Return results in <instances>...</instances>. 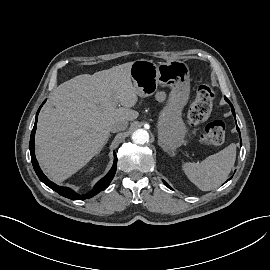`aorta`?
I'll return each mask as SVG.
<instances>
[{"instance_id": "762f6f07", "label": "aorta", "mask_w": 270, "mask_h": 270, "mask_svg": "<svg viewBox=\"0 0 270 270\" xmlns=\"http://www.w3.org/2000/svg\"><path fill=\"white\" fill-rule=\"evenodd\" d=\"M132 140L136 144H145L149 140V134L144 129H138L132 134Z\"/></svg>"}]
</instances>
